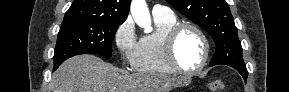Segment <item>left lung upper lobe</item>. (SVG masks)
Returning a JSON list of instances; mask_svg holds the SVG:
<instances>
[{
  "instance_id": "obj_1",
  "label": "left lung upper lobe",
  "mask_w": 289,
  "mask_h": 92,
  "mask_svg": "<svg viewBox=\"0 0 289 92\" xmlns=\"http://www.w3.org/2000/svg\"><path fill=\"white\" fill-rule=\"evenodd\" d=\"M188 19L207 31L216 43L209 66L246 67L228 4L225 0H166Z\"/></svg>"
}]
</instances>
